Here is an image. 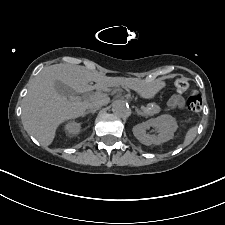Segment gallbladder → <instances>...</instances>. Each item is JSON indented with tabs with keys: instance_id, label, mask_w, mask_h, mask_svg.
Masks as SVG:
<instances>
[{
	"instance_id": "obj_1",
	"label": "gallbladder",
	"mask_w": 225,
	"mask_h": 225,
	"mask_svg": "<svg viewBox=\"0 0 225 225\" xmlns=\"http://www.w3.org/2000/svg\"><path fill=\"white\" fill-rule=\"evenodd\" d=\"M55 89L59 94L68 98L75 94V92L70 87L60 81L55 82Z\"/></svg>"
}]
</instances>
